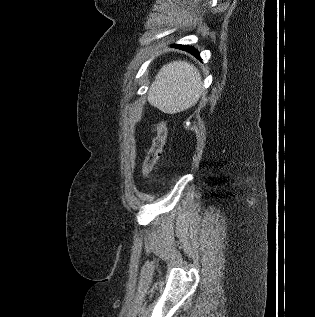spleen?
<instances>
[{"instance_id":"obj_1","label":"spleen","mask_w":315,"mask_h":317,"mask_svg":"<svg viewBox=\"0 0 315 317\" xmlns=\"http://www.w3.org/2000/svg\"><path fill=\"white\" fill-rule=\"evenodd\" d=\"M202 93L200 72L187 61L164 65L148 92L149 102L164 113H180L194 106Z\"/></svg>"}]
</instances>
